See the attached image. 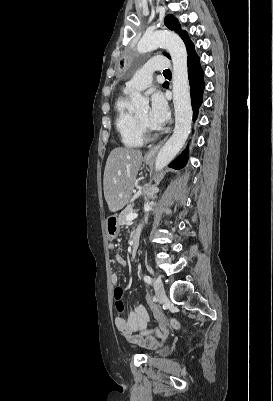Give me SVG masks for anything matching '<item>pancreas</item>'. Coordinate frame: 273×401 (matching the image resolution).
Returning <instances> with one entry per match:
<instances>
[{"label":"pancreas","mask_w":273,"mask_h":401,"mask_svg":"<svg viewBox=\"0 0 273 401\" xmlns=\"http://www.w3.org/2000/svg\"><path fill=\"white\" fill-rule=\"evenodd\" d=\"M133 205H127L126 209L120 213L118 217V225H128L129 221H127V215H131Z\"/></svg>","instance_id":"pancreas-1"}]
</instances>
